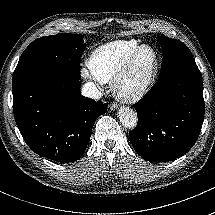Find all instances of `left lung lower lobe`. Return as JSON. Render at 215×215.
Instances as JSON below:
<instances>
[{"instance_id": "left-lung-lower-lobe-1", "label": "left lung lower lobe", "mask_w": 215, "mask_h": 215, "mask_svg": "<svg viewBox=\"0 0 215 215\" xmlns=\"http://www.w3.org/2000/svg\"><path fill=\"white\" fill-rule=\"evenodd\" d=\"M134 107L138 123L129 138L142 158L167 162L187 153L199 136L205 112L197 65H186L160 77Z\"/></svg>"}]
</instances>
